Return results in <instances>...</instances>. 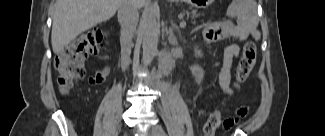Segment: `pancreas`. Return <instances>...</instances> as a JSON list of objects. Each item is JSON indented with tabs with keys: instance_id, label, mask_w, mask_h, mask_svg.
Returning a JSON list of instances; mask_svg holds the SVG:
<instances>
[{
	"instance_id": "obj_1",
	"label": "pancreas",
	"mask_w": 325,
	"mask_h": 136,
	"mask_svg": "<svg viewBox=\"0 0 325 136\" xmlns=\"http://www.w3.org/2000/svg\"><path fill=\"white\" fill-rule=\"evenodd\" d=\"M186 15L190 16L185 20L187 24H198L203 18V13L199 12L198 9H192V7L186 10Z\"/></svg>"
}]
</instances>
